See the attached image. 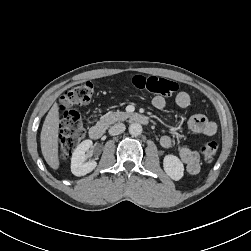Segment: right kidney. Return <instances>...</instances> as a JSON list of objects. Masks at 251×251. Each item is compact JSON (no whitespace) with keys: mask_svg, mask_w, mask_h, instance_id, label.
<instances>
[{"mask_svg":"<svg viewBox=\"0 0 251 251\" xmlns=\"http://www.w3.org/2000/svg\"><path fill=\"white\" fill-rule=\"evenodd\" d=\"M92 144V141L87 139L81 142L74 150L71 158V172L75 176H84L93 171L97 166L96 161L85 162V153L92 147Z\"/></svg>","mask_w":251,"mask_h":251,"instance_id":"right-kidney-1","label":"right kidney"}]
</instances>
